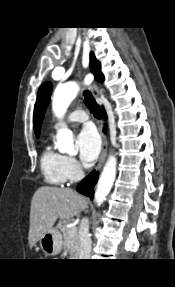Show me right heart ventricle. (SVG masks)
Listing matches in <instances>:
<instances>
[{
    "label": "right heart ventricle",
    "mask_w": 175,
    "mask_h": 287,
    "mask_svg": "<svg viewBox=\"0 0 175 287\" xmlns=\"http://www.w3.org/2000/svg\"><path fill=\"white\" fill-rule=\"evenodd\" d=\"M65 156L46 146L40 157V168L45 181L52 185H62L67 181L64 171Z\"/></svg>",
    "instance_id": "1"
}]
</instances>
